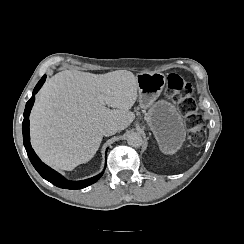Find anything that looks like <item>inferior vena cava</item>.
<instances>
[{"mask_svg": "<svg viewBox=\"0 0 244 244\" xmlns=\"http://www.w3.org/2000/svg\"><path fill=\"white\" fill-rule=\"evenodd\" d=\"M118 131V127L114 123H107L102 127V133L105 136L113 135Z\"/></svg>", "mask_w": 244, "mask_h": 244, "instance_id": "602c4592", "label": "inferior vena cava"}]
</instances>
